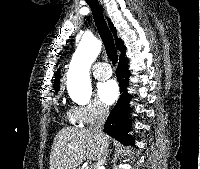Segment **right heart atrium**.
<instances>
[{"instance_id": "d8ad5b80", "label": "right heart atrium", "mask_w": 200, "mask_h": 169, "mask_svg": "<svg viewBox=\"0 0 200 169\" xmlns=\"http://www.w3.org/2000/svg\"><path fill=\"white\" fill-rule=\"evenodd\" d=\"M71 113L82 126L94 124L108 115V108L98 100H91L84 105L74 106Z\"/></svg>"}]
</instances>
